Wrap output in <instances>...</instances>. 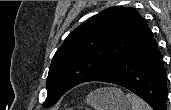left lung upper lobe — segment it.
Instances as JSON below:
<instances>
[{
	"instance_id": "5c2ea615",
	"label": "left lung upper lobe",
	"mask_w": 171,
	"mask_h": 110,
	"mask_svg": "<svg viewBox=\"0 0 171 110\" xmlns=\"http://www.w3.org/2000/svg\"><path fill=\"white\" fill-rule=\"evenodd\" d=\"M150 31L134 8L110 7L72 31L56 51L43 107L54 105L72 87L94 81L116 66Z\"/></svg>"
}]
</instances>
